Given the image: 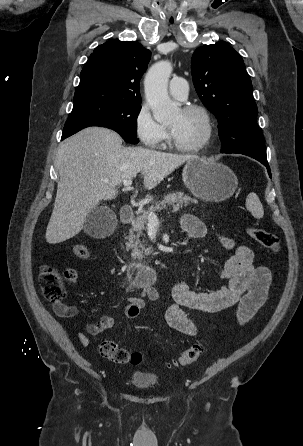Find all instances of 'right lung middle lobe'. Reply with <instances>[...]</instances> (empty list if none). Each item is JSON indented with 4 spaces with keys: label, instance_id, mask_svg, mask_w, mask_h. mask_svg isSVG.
Returning a JSON list of instances; mask_svg holds the SVG:
<instances>
[{
    "label": "right lung middle lobe",
    "instance_id": "1",
    "mask_svg": "<svg viewBox=\"0 0 303 446\" xmlns=\"http://www.w3.org/2000/svg\"><path fill=\"white\" fill-rule=\"evenodd\" d=\"M140 104L100 102L73 108L62 134L65 139L83 128L100 126L115 130L127 142L138 143L136 120Z\"/></svg>",
    "mask_w": 303,
    "mask_h": 446
}]
</instances>
